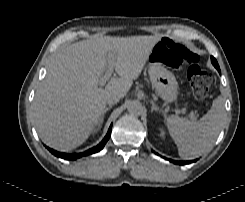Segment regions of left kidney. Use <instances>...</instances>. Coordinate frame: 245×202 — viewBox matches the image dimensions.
Masks as SVG:
<instances>
[{
    "label": "left kidney",
    "mask_w": 245,
    "mask_h": 202,
    "mask_svg": "<svg viewBox=\"0 0 245 202\" xmlns=\"http://www.w3.org/2000/svg\"><path fill=\"white\" fill-rule=\"evenodd\" d=\"M160 136H161L162 138H164V137H165V132H164V130H163V129H160Z\"/></svg>",
    "instance_id": "5707ae66"
}]
</instances>
